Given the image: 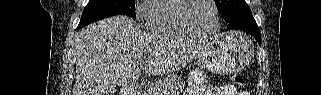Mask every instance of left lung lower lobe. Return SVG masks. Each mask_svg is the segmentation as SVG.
<instances>
[{
	"mask_svg": "<svg viewBox=\"0 0 321 95\" xmlns=\"http://www.w3.org/2000/svg\"><path fill=\"white\" fill-rule=\"evenodd\" d=\"M228 30L238 29L249 33L254 36L259 44H261V35L259 27L255 19L252 16V13L242 15L238 18H235L231 22H229Z\"/></svg>",
	"mask_w": 321,
	"mask_h": 95,
	"instance_id": "1",
	"label": "left lung lower lobe"
}]
</instances>
